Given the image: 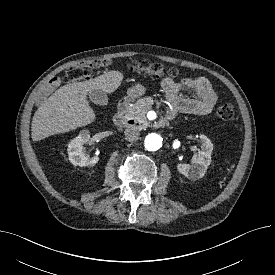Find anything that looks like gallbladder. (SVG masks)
Returning <instances> with one entry per match:
<instances>
[{"label": "gallbladder", "instance_id": "1", "mask_svg": "<svg viewBox=\"0 0 275 275\" xmlns=\"http://www.w3.org/2000/svg\"><path fill=\"white\" fill-rule=\"evenodd\" d=\"M89 99L96 105L105 106L108 104V96L101 90H93L89 93Z\"/></svg>", "mask_w": 275, "mask_h": 275}]
</instances>
